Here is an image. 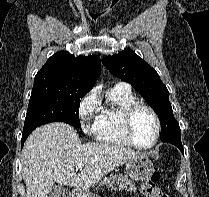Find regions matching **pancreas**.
Here are the masks:
<instances>
[{
	"instance_id": "cf45deb5",
	"label": "pancreas",
	"mask_w": 209,
	"mask_h": 197,
	"mask_svg": "<svg viewBox=\"0 0 209 197\" xmlns=\"http://www.w3.org/2000/svg\"><path fill=\"white\" fill-rule=\"evenodd\" d=\"M113 184L120 189L125 191L136 192L137 188L135 184L128 178V176L111 174L108 177H105L100 183L101 186H108L113 188Z\"/></svg>"
}]
</instances>
